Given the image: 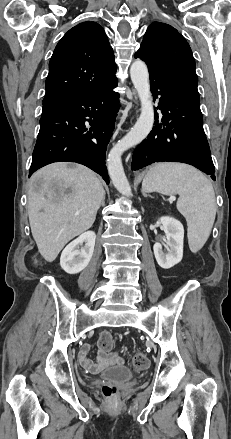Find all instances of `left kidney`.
Here are the masks:
<instances>
[{"label":"left kidney","instance_id":"left-kidney-1","mask_svg":"<svg viewBox=\"0 0 231 439\" xmlns=\"http://www.w3.org/2000/svg\"><path fill=\"white\" fill-rule=\"evenodd\" d=\"M159 220L167 238V251L164 252L162 244L157 242L153 246L154 255L160 267L169 269L182 260L184 228L179 220L169 216L161 217Z\"/></svg>","mask_w":231,"mask_h":439}]
</instances>
